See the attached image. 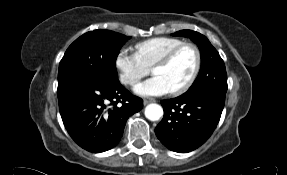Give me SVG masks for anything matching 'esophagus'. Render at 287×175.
Returning <instances> with one entry per match:
<instances>
[{
  "mask_svg": "<svg viewBox=\"0 0 287 175\" xmlns=\"http://www.w3.org/2000/svg\"><path fill=\"white\" fill-rule=\"evenodd\" d=\"M153 101H154L153 99H144L143 103L144 105H147L148 103L153 102Z\"/></svg>",
  "mask_w": 287,
  "mask_h": 175,
  "instance_id": "esophagus-1",
  "label": "esophagus"
}]
</instances>
